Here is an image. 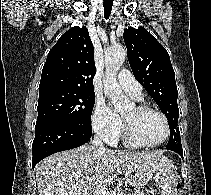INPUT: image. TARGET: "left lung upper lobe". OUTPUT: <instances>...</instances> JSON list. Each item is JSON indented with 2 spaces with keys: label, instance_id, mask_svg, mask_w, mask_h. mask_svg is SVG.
I'll return each mask as SVG.
<instances>
[{
  "label": "left lung upper lobe",
  "instance_id": "5c2ea615",
  "mask_svg": "<svg viewBox=\"0 0 211 195\" xmlns=\"http://www.w3.org/2000/svg\"><path fill=\"white\" fill-rule=\"evenodd\" d=\"M127 56L135 78L168 119L170 139L166 148H182L178 127V91L175 73L166 49L144 27L124 31Z\"/></svg>",
  "mask_w": 211,
  "mask_h": 195
}]
</instances>
